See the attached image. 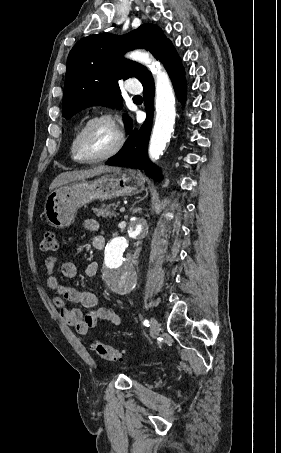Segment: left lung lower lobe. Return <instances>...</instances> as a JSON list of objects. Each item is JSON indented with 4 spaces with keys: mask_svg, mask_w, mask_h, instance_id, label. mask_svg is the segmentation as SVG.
Wrapping results in <instances>:
<instances>
[{
    "mask_svg": "<svg viewBox=\"0 0 281 453\" xmlns=\"http://www.w3.org/2000/svg\"><path fill=\"white\" fill-rule=\"evenodd\" d=\"M164 64L175 88L179 100L184 103L186 95V81L181 59L171 41L165 46L159 59ZM144 87V105L147 118L140 130H131V135L122 150L110 158L105 164L112 166H126L144 170L151 178L160 181L159 169L150 162L147 156V146L150 137L154 111V81L149 73L142 81Z\"/></svg>",
    "mask_w": 281,
    "mask_h": 453,
    "instance_id": "0a47b994",
    "label": "left lung lower lobe"
}]
</instances>
